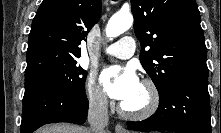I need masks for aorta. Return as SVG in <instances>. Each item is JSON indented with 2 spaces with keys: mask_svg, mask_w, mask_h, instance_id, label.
Segmentation results:
<instances>
[{
  "mask_svg": "<svg viewBox=\"0 0 221 133\" xmlns=\"http://www.w3.org/2000/svg\"><path fill=\"white\" fill-rule=\"evenodd\" d=\"M133 24V16L130 13H117L107 23L106 35L114 38L127 31Z\"/></svg>",
  "mask_w": 221,
  "mask_h": 133,
  "instance_id": "aorta-1",
  "label": "aorta"
}]
</instances>
